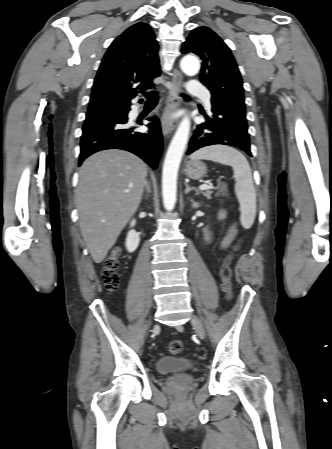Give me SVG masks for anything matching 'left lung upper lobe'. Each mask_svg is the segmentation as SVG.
Here are the masks:
<instances>
[{"label": "left lung upper lobe", "instance_id": "1", "mask_svg": "<svg viewBox=\"0 0 332 449\" xmlns=\"http://www.w3.org/2000/svg\"><path fill=\"white\" fill-rule=\"evenodd\" d=\"M182 52L201 57V82L212 94V106L245 112L243 82L236 61L223 40L210 28L194 29Z\"/></svg>", "mask_w": 332, "mask_h": 449}]
</instances>
